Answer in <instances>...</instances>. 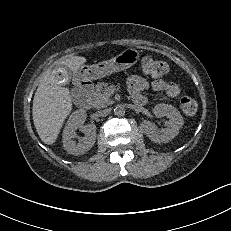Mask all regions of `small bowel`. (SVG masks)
<instances>
[{"mask_svg": "<svg viewBox=\"0 0 231 231\" xmlns=\"http://www.w3.org/2000/svg\"><path fill=\"white\" fill-rule=\"evenodd\" d=\"M126 82L129 93L134 101H136L138 98H143L146 101L145 97L142 95V92L147 89H152L153 91H163L171 98H176L181 93V86L179 83L164 79H156L150 83L138 75H131L127 78Z\"/></svg>", "mask_w": 231, "mask_h": 231, "instance_id": "obj_1", "label": "small bowel"}]
</instances>
